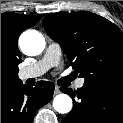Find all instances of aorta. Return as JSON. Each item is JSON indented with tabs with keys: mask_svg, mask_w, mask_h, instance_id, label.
<instances>
[{
	"mask_svg": "<svg viewBox=\"0 0 123 123\" xmlns=\"http://www.w3.org/2000/svg\"><path fill=\"white\" fill-rule=\"evenodd\" d=\"M20 47L24 54L36 56L42 53L45 39L40 32L28 30L20 37ZM53 107L58 113H69L72 109V99L67 94H59L53 100Z\"/></svg>",
	"mask_w": 123,
	"mask_h": 123,
	"instance_id": "aorta-1",
	"label": "aorta"
}]
</instances>
